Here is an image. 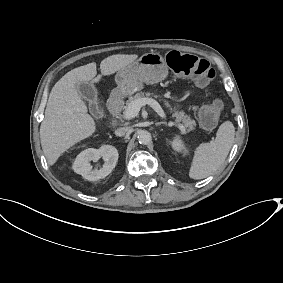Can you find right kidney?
<instances>
[{
	"instance_id": "ca27d5eb",
	"label": "right kidney",
	"mask_w": 283,
	"mask_h": 283,
	"mask_svg": "<svg viewBox=\"0 0 283 283\" xmlns=\"http://www.w3.org/2000/svg\"><path fill=\"white\" fill-rule=\"evenodd\" d=\"M100 157L105 161L102 168L92 170L90 162L99 161ZM119 158L116 147L111 145H102L98 149L89 148L82 151L73 164V169L77 174L82 175L85 179L96 181L108 176L115 168Z\"/></svg>"
}]
</instances>
